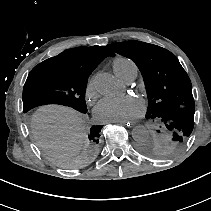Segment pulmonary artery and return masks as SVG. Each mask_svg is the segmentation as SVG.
I'll return each instance as SVG.
<instances>
[{
    "label": "pulmonary artery",
    "instance_id": "obj_1",
    "mask_svg": "<svg viewBox=\"0 0 211 211\" xmlns=\"http://www.w3.org/2000/svg\"><path fill=\"white\" fill-rule=\"evenodd\" d=\"M136 76H137V74H134V75L130 76L125 82H126V83H131V82H133L134 79L136 78Z\"/></svg>",
    "mask_w": 211,
    "mask_h": 211
}]
</instances>
